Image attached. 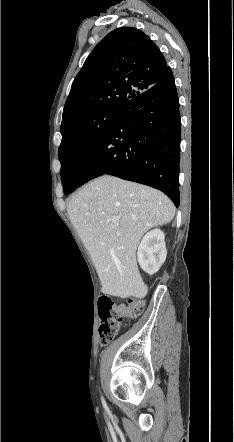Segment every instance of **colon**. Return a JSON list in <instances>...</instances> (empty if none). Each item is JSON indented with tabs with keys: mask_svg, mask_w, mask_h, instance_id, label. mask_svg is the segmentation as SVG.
Masks as SVG:
<instances>
[{
	"mask_svg": "<svg viewBox=\"0 0 234 442\" xmlns=\"http://www.w3.org/2000/svg\"><path fill=\"white\" fill-rule=\"evenodd\" d=\"M145 307L143 299H132L127 305H116L107 297L99 300V337L100 343L106 345L110 343L120 330L125 318L135 319L139 317Z\"/></svg>",
	"mask_w": 234,
	"mask_h": 442,
	"instance_id": "5ec220e1",
	"label": "colon"
}]
</instances>
